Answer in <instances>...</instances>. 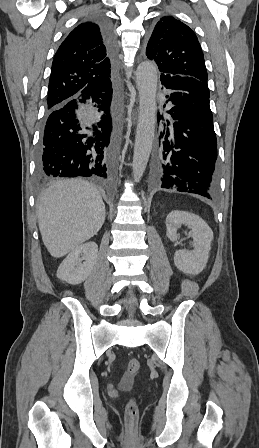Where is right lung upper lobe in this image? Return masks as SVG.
I'll return each mask as SVG.
<instances>
[{
    "label": "right lung upper lobe",
    "mask_w": 259,
    "mask_h": 448,
    "mask_svg": "<svg viewBox=\"0 0 259 448\" xmlns=\"http://www.w3.org/2000/svg\"><path fill=\"white\" fill-rule=\"evenodd\" d=\"M111 62L100 27L85 21L62 42L52 62L47 109L110 86Z\"/></svg>",
    "instance_id": "right-lung-upper-lobe-1"
}]
</instances>
